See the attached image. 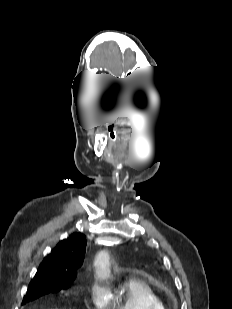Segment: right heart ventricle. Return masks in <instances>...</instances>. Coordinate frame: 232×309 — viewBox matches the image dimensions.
Instances as JSON below:
<instances>
[{"instance_id":"e07e8e85","label":"right heart ventricle","mask_w":232,"mask_h":309,"mask_svg":"<svg viewBox=\"0 0 232 309\" xmlns=\"http://www.w3.org/2000/svg\"><path fill=\"white\" fill-rule=\"evenodd\" d=\"M104 309H165V305L146 282L129 278L116 296L107 299Z\"/></svg>"}]
</instances>
